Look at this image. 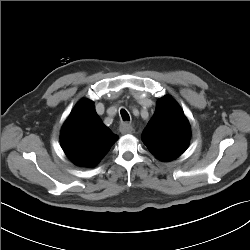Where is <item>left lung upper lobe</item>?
Instances as JSON below:
<instances>
[{
	"label": "left lung upper lobe",
	"mask_w": 250,
	"mask_h": 250,
	"mask_svg": "<svg viewBox=\"0 0 250 250\" xmlns=\"http://www.w3.org/2000/svg\"><path fill=\"white\" fill-rule=\"evenodd\" d=\"M190 136L189 122L180 106L172 97L164 96L158 100L141 138L154 156L170 161L185 151Z\"/></svg>",
	"instance_id": "5c2ea615"
}]
</instances>
